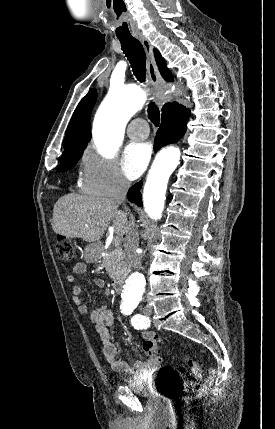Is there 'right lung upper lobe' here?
I'll return each instance as SVG.
<instances>
[{
	"instance_id": "cb5924a9",
	"label": "right lung upper lobe",
	"mask_w": 275,
	"mask_h": 429,
	"mask_svg": "<svg viewBox=\"0 0 275 429\" xmlns=\"http://www.w3.org/2000/svg\"><path fill=\"white\" fill-rule=\"evenodd\" d=\"M154 55L162 76L165 80L171 81L172 74L167 70L165 66V60L157 50H154ZM95 101L96 91L91 90L80 101L77 108L75 109L65 133V139L63 143L64 152L62 157L83 152L86 148L88 142L91 139L90 115ZM170 105L171 104L168 103L163 106L162 115L165 114Z\"/></svg>"
}]
</instances>
